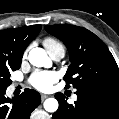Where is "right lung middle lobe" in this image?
Returning a JSON list of instances; mask_svg holds the SVG:
<instances>
[{"label":"right lung middle lobe","instance_id":"dd1d6c3e","mask_svg":"<svg viewBox=\"0 0 119 119\" xmlns=\"http://www.w3.org/2000/svg\"><path fill=\"white\" fill-rule=\"evenodd\" d=\"M17 69H19V67L0 66V90H5L11 84L10 72Z\"/></svg>","mask_w":119,"mask_h":119}]
</instances>
